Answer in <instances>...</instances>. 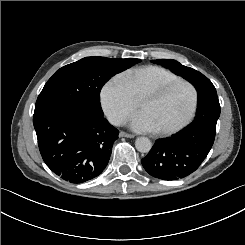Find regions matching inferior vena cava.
Here are the masks:
<instances>
[{
  "mask_svg": "<svg viewBox=\"0 0 245 245\" xmlns=\"http://www.w3.org/2000/svg\"><path fill=\"white\" fill-rule=\"evenodd\" d=\"M126 120V116L122 114H117L112 119H110V122L115 126H121L126 123Z\"/></svg>",
  "mask_w": 245,
  "mask_h": 245,
  "instance_id": "obj_1",
  "label": "inferior vena cava"
}]
</instances>
